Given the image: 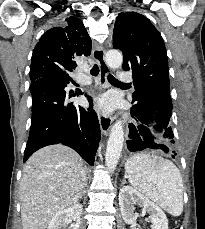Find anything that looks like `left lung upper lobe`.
<instances>
[{"mask_svg": "<svg viewBox=\"0 0 205 229\" xmlns=\"http://www.w3.org/2000/svg\"><path fill=\"white\" fill-rule=\"evenodd\" d=\"M113 48L123 52V69L133 72L132 108L164 113L170 120L168 59L161 34L145 16L121 12L114 26Z\"/></svg>", "mask_w": 205, "mask_h": 229, "instance_id": "1", "label": "left lung upper lobe"}]
</instances>
